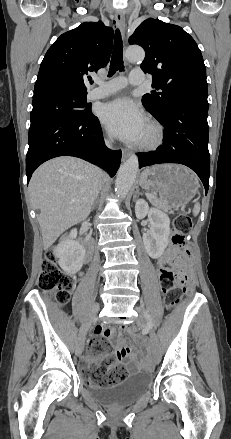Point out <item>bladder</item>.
I'll use <instances>...</instances> for the list:
<instances>
[{
  "mask_svg": "<svg viewBox=\"0 0 231 439\" xmlns=\"http://www.w3.org/2000/svg\"><path fill=\"white\" fill-rule=\"evenodd\" d=\"M152 383V375L140 372L127 377L118 385L89 386L91 396L109 407H123L133 403Z\"/></svg>",
  "mask_w": 231,
  "mask_h": 439,
  "instance_id": "obj_1",
  "label": "bladder"
}]
</instances>
